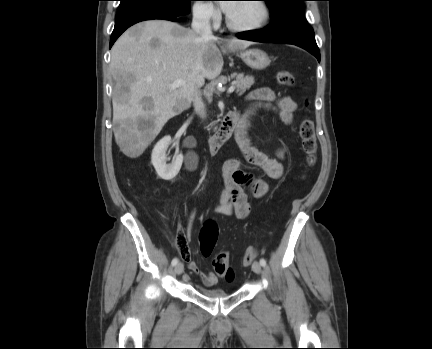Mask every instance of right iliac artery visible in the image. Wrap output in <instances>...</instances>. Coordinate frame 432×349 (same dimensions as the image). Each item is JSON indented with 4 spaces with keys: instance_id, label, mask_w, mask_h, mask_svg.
Returning <instances> with one entry per match:
<instances>
[{
    "instance_id": "82829eb1",
    "label": "right iliac artery",
    "mask_w": 432,
    "mask_h": 349,
    "mask_svg": "<svg viewBox=\"0 0 432 349\" xmlns=\"http://www.w3.org/2000/svg\"><path fill=\"white\" fill-rule=\"evenodd\" d=\"M178 263V259L174 258L171 262L172 266H175Z\"/></svg>"
}]
</instances>
